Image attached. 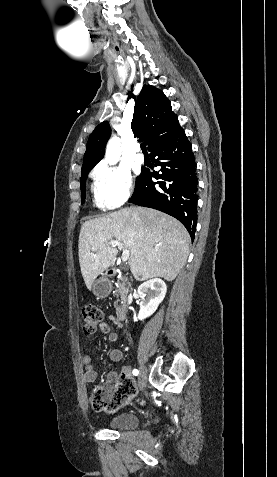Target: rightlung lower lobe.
Returning <instances> with one entry per match:
<instances>
[{
    "label": "right lung lower lobe",
    "instance_id": "right-lung-lower-lobe-1",
    "mask_svg": "<svg viewBox=\"0 0 277 477\" xmlns=\"http://www.w3.org/2000/svg\"><path fill=\"white\" fill-rule=\"evenodd\" d=\"M161 173L142 170L129 202L165 212L177 218L195 237L197 224V177L191 143L182 128L150 151ZM156 158V159H155ZM152 178L160 179L156 183Z\"/></svg>",
    "mask_w": 277,
    "mask_h": 477
}]
</instances>
